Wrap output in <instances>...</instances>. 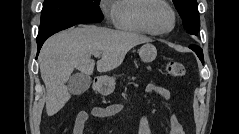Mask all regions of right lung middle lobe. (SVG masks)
<instances>
[{"label": "right lung middle lobe", "mask_w": 239, "mask_h": 134, "mask_svg": "<svg viewBox=\"0 0 239 134\" xmlns=\"http://www.w3.org/2000/svg\"><path fill=\"white\" fill-rule=\"evenodd\" d=\"M100 0H44L37 38L72 24L98 23L103 19Z\"/></svg>", "instance_id": "1"}]
</instances>
